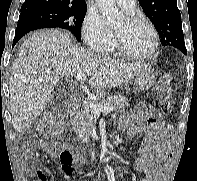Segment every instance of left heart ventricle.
Listing matches in <instances>:
<instances>
[{
    "label": "left heart ventricle",
    "instance_id": "b2bd125f",
    "mask_svg": "<svg viewBox=\"0 0 197 181\" xmlns=\"http://www.w3.org/2000/svg\"><path fill=\"white\" fill-rule=\"evenodd\" d=\"M114 33L131 52L144 54L152 48L153 34L145 24H131L125 19L114 28Z\"/></svg>",
    "mask_w": 197,
    "mask_h": 181
}]
</instances>
